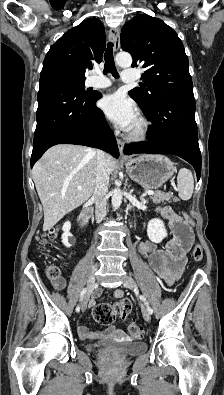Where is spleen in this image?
Masks as SVG:
<instances>
[{
    "label": "spleen",
    "mask_w": 224,
    "mask_h": 395,
    "mask_svg": "<svg viewBox=\"0 0 224 395\" xmlns=\"http://www.w3.org/2000/svg\"><path fill=\"white\" fill-rule=\"evenodd\" d=\"M177 186L179 197L182 200H189L194 189V179L190 170L186 168L180 169L177 176Z\"/></svg>",
    "instance_id": "1"
}]
</instances>
